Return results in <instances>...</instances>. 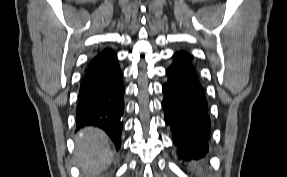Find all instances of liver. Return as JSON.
<instances>
[{"mask_svg": "<svg viewBox=\"0 0 287 177\" xmlns=\"http://www.w3.org/2000/svg\"><path fill=\"white\" fill-rule=\"evenodd\" d=\"M75 141L76 161L84 177H96L111 164L114 153L103 131L86 127L79 132Z\"/></svg>", "mask_w": 287, "mask_h": 177, "instance_id": "liver-1", "label": "liver"}]
</instances>
